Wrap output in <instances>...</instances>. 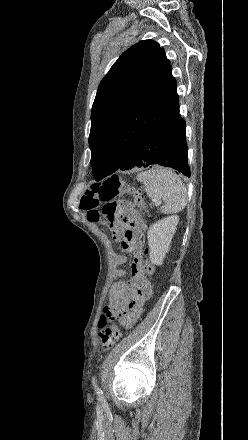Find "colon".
Segmentation results:
<instances>
[{"instance_id":"1","label":"colon","mask_w":248,"mask_h":440,"mask_svg":"<svg viewBox=\"0 0 248 440\" xmlns=\"http://www.w3.org/2000/svg\"><path fill=\"white\" fill-rule=\"evenodd\" d=\"M129 194L133 201L130 207L133 211L143 207V194L140 190L125 186L119 176L113 175L103 182L93 183L83 194L80 201V208L87 214L90 221H101L113 229L116 223V216L121 212V220H126V212L123 203L116 201L121 194ZM144 269L148 275H152L153 267L150 261H145ZM116 316L113 311L107 309L100 322L99 338L104 350L113 347L123 336L121 329L115 324ZM134 325V324H133Z\"/></svg>"}]
</instances>
